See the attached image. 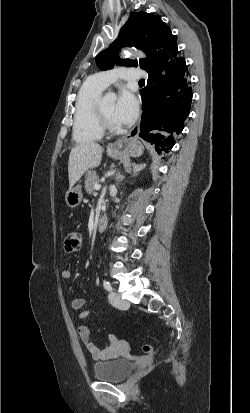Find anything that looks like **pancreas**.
I'll list each match as a JSON object with an SVG mask.
<instances>
[{
    "label": "pancreas",
    "mask_w": 250,
    "mask_h": 413,
    "mask_svg": "<svg viewBox=\"0 0 250 413\" xmlns=\"http://www.w3.org/2000/svg\"><path fill=\"white\" fill-rule=\"evenodd\" d=\"M85 190L91 194L94 190V186L99 183V177L95 170H89L85 174Z\"/></svg>",
    "instance_id": "obj_1"
}]
</instances>
